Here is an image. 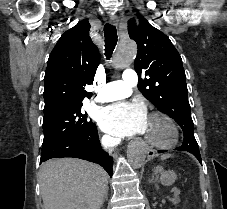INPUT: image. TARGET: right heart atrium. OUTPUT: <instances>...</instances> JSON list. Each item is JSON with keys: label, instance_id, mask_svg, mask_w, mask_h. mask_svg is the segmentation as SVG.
<instances>
[{"label": "right heart atrium", "instance_id": "d8ad5b80", "mask_svg": "<svg viewBox=\"0 0 227 209\" xmlns=\"http://www.w3.org/2000/svg\"><path fill=\"white\" fill-rule=\"evenodd\" d=\"M102 144L106 149L111 150L119 144V139L111 135H105L102 137Z\"/></svg>", "mask_w": 227, "mask_h": 209}]
</instances>
